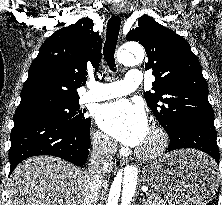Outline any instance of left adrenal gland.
I'll return each instance as SVG.
<instances>
[{"instance_id": "1", "label": "left adrenal gland", "mask_w": 222, "mask_h": 205, "mask_svg": "<svg viewBox=\"0 0 222 205\" xmlns=\"http://www.w3.org/2000/svg\"><path fill=\"white\" fill-rule=\"evenodd\" d=\"M140 204H142V205L146 204V199L142 198Z\"/></svg>"}]
</instances>
